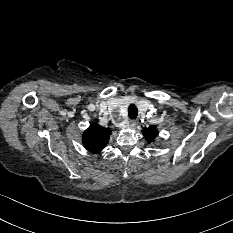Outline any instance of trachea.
<instances>
[{"label": "trachea", "mask_w": 233, "mask_h": 233, "mask_svg": "<svg viewBox=\"0 0 233 233\" xmlns=\"http://www.w3.org/2000/svg\"><path fill=\"white\" fill-rule=\"evenodd\" d=\"M138 115V109L135 105L131 104L128 107V116L130 119H135Z\"/></svg>", "instance_id": "1"}]
</instances>
